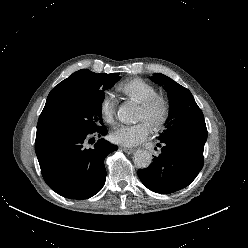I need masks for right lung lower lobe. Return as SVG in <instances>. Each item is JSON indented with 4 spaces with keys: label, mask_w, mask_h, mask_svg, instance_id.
<instances>
[{
    "label": "right lung lower lobe",
    "mask_w": 248,
    "mask_h": 248,
    "mask_svg": "<svg viewBox=\"0 0 248 248\" xmlns=\"http://www.w3.org/2000/svg\"><path fill=\"white\" fill-rule=\"evenodd\" d=\"M106 134L105 126L95 132L38 129L35 152L47 185L70 199H86L99 192L106 178L104 158L118 149L100 138ZM95 136L100 139L95 141Z\"/></svg>",
    "instance_id": "right-lung-lower-lobe-1"
}]
</instances>
